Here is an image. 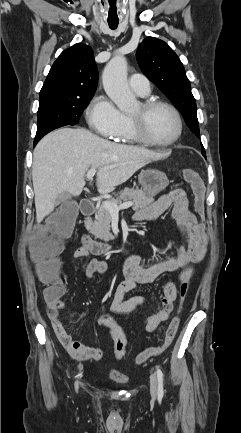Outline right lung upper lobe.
<instances>
[{
  "label": "right lung upper lobe",
  "instance_id": "right-lung-upper-lobe-1",
  "mask_svg": "<svg viewBox=\"0 0 241 433\" xmlns=\"http://www.w3.org/2000/svg\"><path fill=\"white\" fill-rule=\"evenodd\" d=\"M97 83L93 50L77 43L64 50L54 62L40 91V100L93 97Z\"/></svg>",
  "mask_w": 241,
  "mask_h": 433
}]
</instances>
